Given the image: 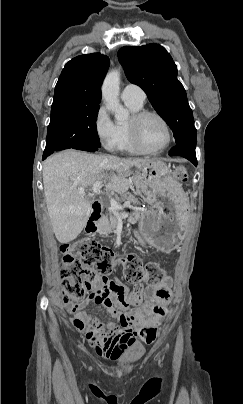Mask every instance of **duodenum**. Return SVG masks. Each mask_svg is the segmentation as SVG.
Here are the masks:
<instances>
[{"label":"duodenum","instance_id":"duodenum-1","mask_svg":"<svg viewBox=\"0 0 243 404\" xmlns=\"http://www.w3.org/2000/svg\"><path fill=\"white\" fill-rule=\"evenodd\" d=\"M102 212V204L99 201H95L92 204V209H91V215L88 220L87 226H86V231L90 234H93L96 232L97 229V221L100 217V214Z\"/></svg>","mask_w":243,"mask_h":404}]
</instances>
